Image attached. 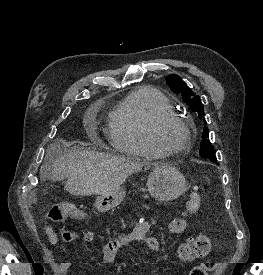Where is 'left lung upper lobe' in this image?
Returning <instances> with one entry per match:
<instances>
[{"mask_svg": "<svg viewBox=\"0 0 263 275\" xmlns=\"http://www.w3.org/2000/svg\"><path fill=\"white\" fill-rule=\"evenodd\" d=\"M166 82L169 85L170 89L177 94L182 95V99L189 106L190 110L196 112L199 119H203L206 122L204 116V107L202 102L199 100V97L194 95V92L187 87L186 83L176 74L167 76ZM209 138V130L204 129L202 134L203 141L201 142L200 156L204 159H209L211 162L218 164L213 145L211 144Z\"/></svg>", "mask_w": 263, "mask_h": 275, "instance_id": "left-lung-upper-lobe-1", "label": "left lung upper lobe"}]
</instances>
